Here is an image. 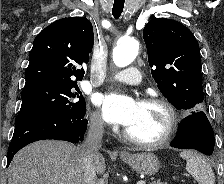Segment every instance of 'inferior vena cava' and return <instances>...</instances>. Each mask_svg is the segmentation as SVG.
<instances>
[{
    "instance_id": "1",
    "label": "inferior vena cava",
    "mask_w": 224,
    "mask_h": 184,
    "mask_svg": "<svg viewBox=\"0 0 224 184\" xmlns=\"http://www.w3.org/2000/svg\"><path fill=\"white\" fill-rule=\"evenodd\" d=\"M104 132V122L100 117H92L89 122L85 141L79 147V158L83 180L82 184H97L94 159L99 155V148Z\"/></svg>"
}]
</instances>
